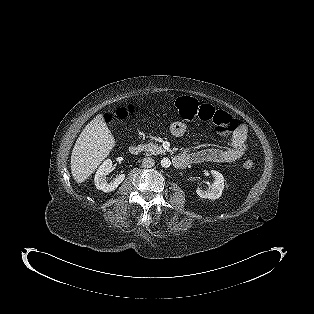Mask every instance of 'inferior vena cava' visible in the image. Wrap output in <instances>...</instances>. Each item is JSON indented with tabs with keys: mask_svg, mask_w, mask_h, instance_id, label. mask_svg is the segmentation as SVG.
Masks as SVG:
<instances>
[{
	"mask_svg": "<svg viewBox=\"0 0 314 314\" xmlns=\"http://www.w3.org/2000/svg\"><path fill=\"white\" fill-rule=\"evenodd\" d=\"M155 165V161L152 157H145L142 160V166L144 168H151Z\"/></svg>",
	"mask_w": 314,
	"mask_h": 314,
	"instance_id": "602c4592",
	"label": "inferior vena cava"
}]
</instances>
